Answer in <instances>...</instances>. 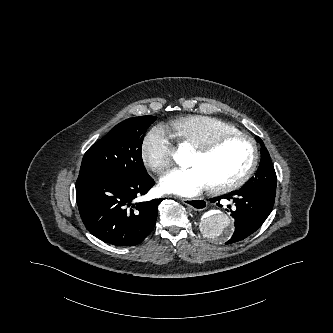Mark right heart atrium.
<instances>
[{"label":"right heart atrium","instance_id":"1","mask_svg":"<svg viewBox=\"0 0 333 333\" xmlns=\"http://www.w3.org/2000/svg\"><path fill=\"white\" fill-rule=\"evenodd\" d=\"M174 149L161 126L153 127L143 138L140 155L143 164L156 174L165 173L173 163Z\"/></svg>","mask_w":333,"mask_h":333}]
</instances>
